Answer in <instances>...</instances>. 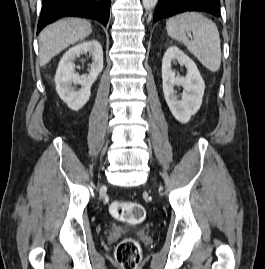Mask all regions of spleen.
<instances>
[{
    "label": "spleen",
    "mask_w": 265,
    "mask_h": 269,
    "mask_svg": "<svg viewBox=\"0 0 265 269\" xmlns=\"http://www.w3.org/2000/svg\"><path fill=\"white\" fill-rule=\"evenodd\" d=\"M168 35L181 43L211 72L221 65L220 37L216 24L198 12H184L166 21ZM192 32L189 40L186 33Z\"/></svg>",
    "instance_id": "spleen-1"
}]
</instances>
